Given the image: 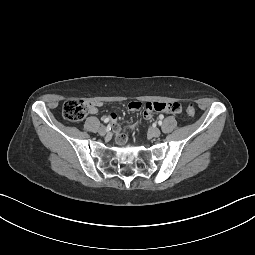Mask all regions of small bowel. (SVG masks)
Here are the masks:
<instances>
[{
    "label": "small bowel",
    "instance_id": "c3829d8e",
    "mask_svg": "<svg viewBox=\"0 0 255 255\" xmlns=\"http://www.w3.org/2000/svg\"><path fill=\"white\" fill-rule=\"evenodd\" d=\"M144 107V115L146 117H151L154 113L157 112H166V113H173L175 115H180L184 111V106L180 101H173V102H147L142 104L141 102L134 101L130 103L131 108H140ZM90 113L95 115L98 113V104L93 103L90 105ZM109 119L115 120L116 115L114 113L110 114L108 117ZM116 138L118 141H123L124 135L120 128L116 129Z\"/></svg>",
    "mask_w": 255,
    "mask_h": 255
}]
</instances>
